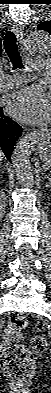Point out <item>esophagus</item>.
Here are the masks:
<instances>
[{
    "label": "esophagus",
    "mask_w": 51,
    "mask_h": 393,
    "mask_svg": "<svg viewBox=\"0 0 51 393\" xmlns=\"http://www.w3.org/2000/svg\"><path fill=\"white\" fill-rule=\"evenodd\" d=\"M11 29L16 34L18 41L21 43L22 36H23V32H22L21 27H19L18 25H12Z\"/></svg>",
    "instance_id": "34e87169"
}]
</instances>
